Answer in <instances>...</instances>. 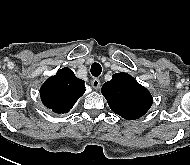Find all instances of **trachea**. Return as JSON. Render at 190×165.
<instances>
[{
	"mask_svg": "<svg viewBox=\"0 0 190 165\" xmlns=\"http://www.w3.org/2000/svg\"><path fill=\"white\" fill-rule=\"evenodd\" d=\"M102 72V68H101V65L99 63H93L91 65V74L94 76V77H98Z\"/></svg>",
	"mask_w": 190,
	"mask_h": 165,
	"instance_id": "trachea-1",
	"label": "trachea"
}]
</instances>
